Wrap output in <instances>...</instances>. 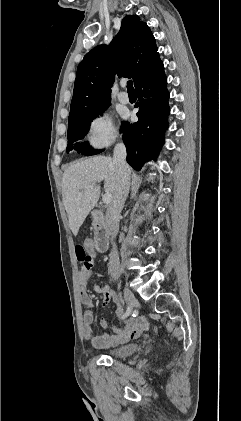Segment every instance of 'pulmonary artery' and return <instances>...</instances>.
Returning a JSON list of instances; mask_svg holds the SVG:
<instances>
[{"label":"pulmonary artery","mask_w":241,"mask_h":421,"mask_svg":"<svg viewBox=\"0 0 241 421\" xmlns=\"http://www.w3.org/2000/svg\"><path fill=\"white\" fill-rule=\"evenodd\" d=\"M118 100H119V102H121L123 104H127V103H129V96L126 92H120L118 94Z\"/></svg>","instance_id":"e3ab8cb5"}]
</instances>
